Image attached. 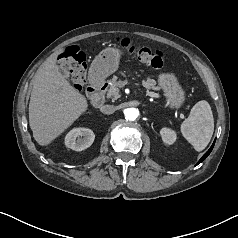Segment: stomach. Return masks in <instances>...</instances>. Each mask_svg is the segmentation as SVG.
<instances>
[{
    "label": "stomach",
    "mask_w": 238,
    "mask_h": 238,
    "mask_svg": "<svg viewBox=\"0 0 238 238\" xmlns=\"http://www.w3.org/2000/svg\"><path fill=\"white\" fill-rule=\"evenodd\" d=\"M121 51L116 48H106L102 50L93 60L89 77L91 82L95 83L104 80L109 75L117 71ZM158 84L163 90L171 108L179 109L185 101V92L178 82L177 77L173 73H161L158 76Z\"/></svg>",
    "instance_id": "1"
}]
</instances>
